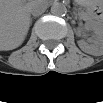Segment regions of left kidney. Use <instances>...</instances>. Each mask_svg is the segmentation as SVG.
Instances as JSON below:
<instances>
[{
	"label": "left kidney",
	"mask_w": 103,
	"mask_h": 103,
	"mask_svg": "<svg viewBox=\"0 0 103 103\" xmlns=\"http://www.w3.org/2000/svg\"><path fill=\"white\" fill-rule=\"evenodd\" d=\"M86 29L94 31V36L91 37L89 42L84 40L78 41V46L82 51L88 54H94L101 52L103 48V27L100 24L94 22H88L85 24Z\"/></svg>",
	"instance_id": "5707ae66"
}]
</instances>
